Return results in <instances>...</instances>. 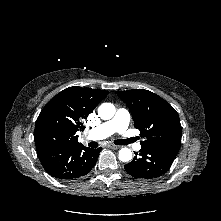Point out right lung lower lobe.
<instances>
[{
    "label": "right lung lower lobe",
    "mask_w": 221,
    "mask_h": 221,
    "mask_svg": "<svg viewBox=\"0 0 221 221\" xmlns=\"http://www.w3.org/2000/svg\"><path fill=\"white\" fill-rule=\"evenodd\" d=\"M101 149H91L79 143L42 149L37 154L48 174L58 179L75 180L93 168Z\"/></svg>",
    "instance_id": "98d812e1"
}]
</instances>
